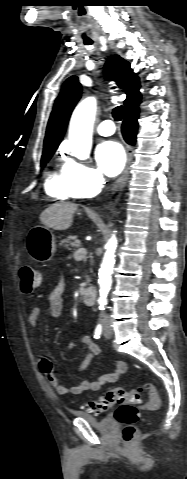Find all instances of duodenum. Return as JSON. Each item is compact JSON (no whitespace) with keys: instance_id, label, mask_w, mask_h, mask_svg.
<instances>
[{"instance_id":"1","label":"duodenum","mask_w":187,"mask_h":479,"mask_svg":"<svg viewBox=\"0 0 187 479\" xmlns=\"http://www.w3.org/2000/svg\"><path fill=\"white\" fill-rule=\"evenodd\" d=\"M97 296V290L95 287H85L81 292L82 300L85 304L91 305L94 303Z\"/></svg>"}]
</instances>
